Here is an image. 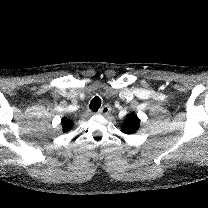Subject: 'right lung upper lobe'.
<instances>
[{"label": "right lung upper lobe", "mask_w": 208, "mask_h": 208, "mask_svg": "<svg viewBox=\"0 0 208 208\" xmlns=\"http://www.w3.org/2000/svg\"><path fill=\"white\" fill-rule=\"evenodd\" d=\"M61 124H62V128H63V132H68V131H70V130L72 129L73 125H74L73 121L69 120V119L66 118V117H64V118L62 119Z\"/></svg>", "instance_id": "cb5924a9"}]
</instances>
